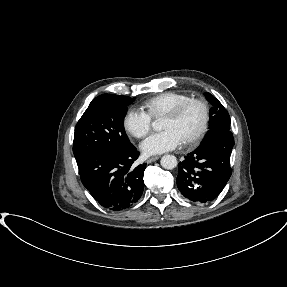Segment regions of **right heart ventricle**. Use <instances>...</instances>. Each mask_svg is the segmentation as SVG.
Wrapping results in <instances>:
<instances>
[{"label": "right heart ventricle", "instance_id": "right-heart-ventricle-1", "mask_svg": "<svg viewBox=\"0 0 287 287\" xmlns=\"http://www.w3.org/2000/svg\"><path fill=\"white\" fill-rule=\"evenodd\" d=\"M186 98L188 96L183 93L174 91L163 92L146 99L142 103V108L150 117L157 118Z\"/></svg>", "mask_w": 287, "mask_h": 287}]
</instances>
